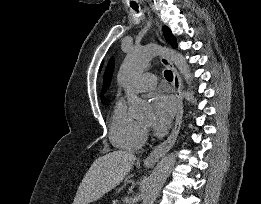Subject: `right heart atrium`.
<instances>
[{"label":"right heart atrium","mask_w":261,"mask_h":204,"mask_svg":"<svg viewBox=\"0 0 261 204\" xmlns=\"http://www.w3.org/2000/svg\"><path fill=\"white\" fill-rule=\"evenodd\" d=\"M144 133H145V135H147V133H148V129L146 127H144Z\"/></svg>","instance_id":"obj_1"}]
</instances>
